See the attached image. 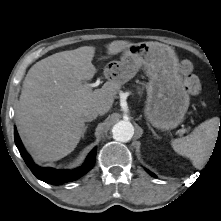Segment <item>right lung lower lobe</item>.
<instances>
[{
    "label": "right lung lower lobe",
    "instance_id": "98d812e1",
    "mask_svg": "<svg viewBox=\"0 0 221 221\" xmlns=\"http://www.w3.org/2000/svg\"><path fill=\"white\" fill-rule=\"evenodd\" d=\"M14 139H15V144L24 159L25 163L29 167V169L32 171V173L40 180L53 184V185H60L64 182H69L78 179L81 177L83 174L88 172L95 163V157H96V148H94L90 154L88 155L85 163L74 170H57L53 168H42L34 164L32 161L31 157L29 154L26 152V150L23 147V144L19 138V135L16 131L14 130Z\"/></svg>",
    "mask_w": 221,
    "mask_h": 221
}]
</instances>
